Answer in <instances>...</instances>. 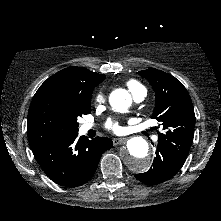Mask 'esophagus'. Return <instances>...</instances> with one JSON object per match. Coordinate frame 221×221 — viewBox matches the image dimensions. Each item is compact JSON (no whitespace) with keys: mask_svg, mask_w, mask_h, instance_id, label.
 Wrapping results in <instances>:
<instances>
[{"mask_svg":"<svg viewBox=\"0 0 221 221\" xmlns=\"http://www.w3.org/2000/svg\"><path fill=\"white\" fill-rule=\"evenodd\" d=\"M127 141V138H114L113 144L114 146L120 145L122 143H125Z\"/></svg>","mask_w":221,"mask_h":221,"instance_id":"34e87169","label":"esophagus"}]
</instances>
